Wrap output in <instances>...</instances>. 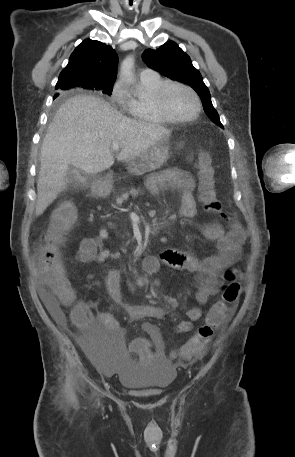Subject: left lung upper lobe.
<instances>
[{
	"label": "left lung upper lobe",
	"instance_id": "left-lung-upper-lobe-1",
	"mask_svg": "<svg viewBox=\"0 0 295 457\" xmlns=\"http://www.w3.org/2000/svg\"><path fill=\"white\" fill-rule=\"evenodd\" d=\"M144 62L165 77L191 86L202 100L207 116L219 126V115L214 109L210 92L200 72L192 65L190 57L173 41H168L156 50L147 49L142 54Z\"/></svg>",
	"mask_w": 295,
	"mask_h": 457
}]
</instances>
